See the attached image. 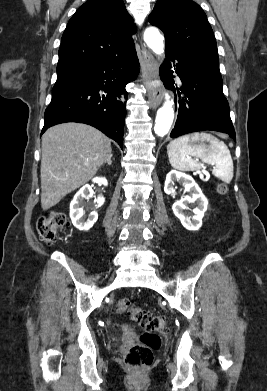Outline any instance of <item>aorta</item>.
Wrapping results in <instances>:
<instances>
[{
    "mask_svg": "<svg viewBox=\"0 0 267 391\" xmlns=\"http://www.w3.org/2000/svg\"><path fill=\"white\" fill-rule=\"evenodd\" d=\"M144 41L147 46L157 55L164 52V37L159 30L154 27L147 28L144 32ZM173 101L168 94L165 95V102L157 111L154 131L158 136H165L173 123L174 110Z\"/></svg>",
    "mask_w": 267,
    "mask_h": 391,
    "instance_id": "1",
    "label": "aorta"
}]
</instances>
